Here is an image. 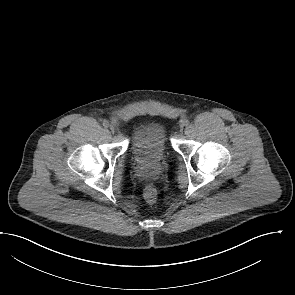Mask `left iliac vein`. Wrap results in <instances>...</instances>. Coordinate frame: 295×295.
I'll list each match as a JSON object with an SVG mask.
<instances>
[{"label": "left iliac vein", "mask_w": 295, "mask_h": 295, "mask_svg": "<svg viewBox=\"0 0 295 295\" xmlns=\"http://www.w3.org/2000/svg\"><path fill=\"white\" fill-rule=\"evenodd\" d=\"M180 127L183 128L184 127V124H181Z\"/></svg>", "instance_id": "4c4485c4"}]
</instances>
